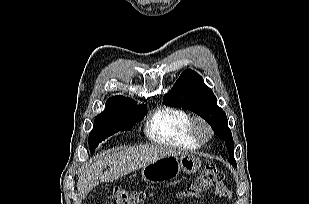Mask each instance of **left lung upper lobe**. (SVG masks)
<instances>
[{"label":"left lung upper lobe","mask_w":309,"mask_h":204,"mask_svg":"<svg viewBox=\"0 0 309 204\" xmlns=\"http://www.w3.org/2000/svg\"><path fill=\"white\" fill-rule=\"evenodd\" d=\"M163 100L166 105L182 107L205 119L215 134L226 142L229 162L236 166L233 139L227 125L226 114L217 106L214 93L204 84L200 75L190 69L182 72L171 91L164 95Z\"/></svg>","instance_id":"left-lung-upper-lobe-1"}]
</instances>
